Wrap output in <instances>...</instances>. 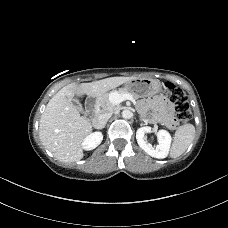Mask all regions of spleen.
Listing matches in <instances>:
<instances>
[{"mask_svg":"<svg viewBox=\"0 0 228 228\" xmlns=\"http://www.w3.org/2000/svg\"><path fill=\"white\" fill-rule=\"evenodd\" d=\"M194 137L195 127L192 124L187 123L180 126L175 132L170 156L172 158H177L182 155L192 143Z\"/></svg>","mask_w":228,"mask_h":228,"instance_id":"3e777b00","label":"spleen"}]
</instances>
